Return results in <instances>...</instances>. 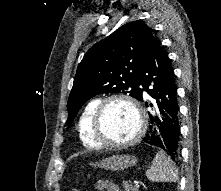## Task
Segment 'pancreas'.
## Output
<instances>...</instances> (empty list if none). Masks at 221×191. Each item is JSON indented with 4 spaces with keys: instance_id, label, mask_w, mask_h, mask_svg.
<instances>
[{
    "instance_id": "1",
    "label": "pancreas",
    "mask_w": 221,
    "mask_h": 191,
    "mask_svg": "<svg viewBox=\"0 0 221 191\" xmlns=\"http://www.w3.org/2000/svg\"><path fill=\"white\" fill-rule=\"evenodd\" d=\"M123 187H124L125 191H138V189L136 187H134L132 184H130L127 181L123 182Z\"/></svg>"
}]
</instances>
